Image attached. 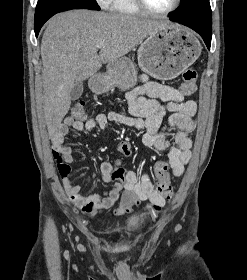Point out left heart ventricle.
I'll return each mask as SVG.
<instances>
[{
	"label": "left heart ventricle",
	"instance_id": "b2bd125f",
	"mask_svg": "<svg viewBox=\"0 0 247 280\" xmlns=\"http://www.w3.org/2000/svg\"><path fill=\"white\" fill-rule=\"evenodd\" d=\"M174 0H145L149 8L157 12H163L169 9Z\"/></svg>",
	"mask_w": 247,
	"mask_h": 280
}]
</instances>
